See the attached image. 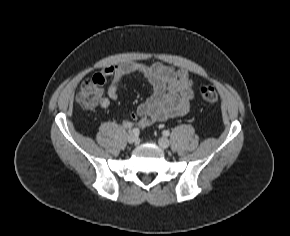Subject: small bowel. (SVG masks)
<instances>
[{"label": "small bowel", "instance_id": "1", "mask_svg": "<svg viewBox=\"0 0 290 236\" xmlns=\"http://www.w3.org/2000/svg\"><path fill=\"white\" fill-rule=\"evenodd\" d=\"M131 75L142 76L151 86V95L143 101L125 121L126 127L136 124L146 127L157 122L183 116L191 111L194 82L185 70L176 69L162 62L151 64L127 62L112 65L93 77L109 80L106 92L101 90L97 107L107 109L111 102L118 100L119 88L124 79ZM103 83V84H104Z\"/></svg>", "mask_w": 290, "mask_h": 236}]
</instances>
